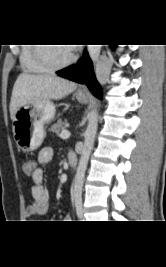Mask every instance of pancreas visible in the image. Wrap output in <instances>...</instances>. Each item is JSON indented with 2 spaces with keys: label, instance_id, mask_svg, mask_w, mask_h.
I'll list each match as a JSON object with an SVG mask.
<instances>
[{
  "label": "pancreas",
  "instance_id": "obj_1",
  "mask_svg": "<svg viewBox=\"0 0 166 267\" xmlns=\"http://www.w3.org/2000/svg\"><path fill=\"white\" fill-rule=\"evenodd\" d=\"M66 129V123L62 121H58L56 124H54L49 130L51 132H54L55 134L59 135L61 130Z\"/></svg>",
  "mask_w": 166,
  "mask_h": 267
}]
</instances>
